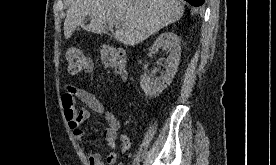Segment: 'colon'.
Returning <instances> with one entry per match:
<instances>
[{
  "label": "colon",
  "mask_w": 276,
  "mask_h": 165,
  "mask_svg": "<svg viewBox=\"0 0 276 165\" xmlns=\"http://www.w3.org/2000/svg\"><path fill=\"white\" fill-rule=\"evenodd\" d=\"M101 63L105 68L113 69L124 75L126 72V60L122 51L110 46H104L100 50ZM67 72L72 75L90 73L93 69L90 58L79 49H70L66 53Z\"/></svg>",
  "instance_id": "colon-1"
}]
</instances>
